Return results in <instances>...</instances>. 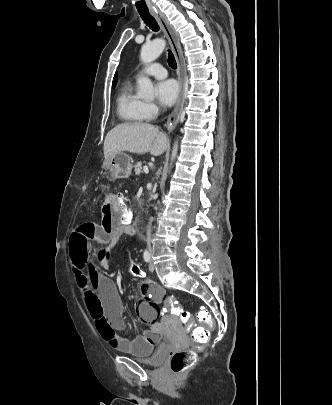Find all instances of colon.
Listing matches in <instances>:
<instances>
[{"label": "colon", "instance_id": "obj_1", "mask_svg": "<svg viewBox=\"0 0 332 405\" xmlns=\"http://www.w3.org/2000/svg\"><path fill=\"white\" fill-rule=\"evenodd\" d=\"M114 195L119 196L117 208L121 214V222H125L132 217V206L127 196L123 193ZM100 264L102 268H109L111 263L109 259H102ZM141 270L142 269L138 262L131 263L129 271L135 273V276L139 279L145 276V273ZM162 298L161 317L163 319H168L171 313L177 315L186 328L190 329L196 327V320L191 319L189 311L181 307L179 300L175 296L167 295V297ZM197 317L203 326L197 327L193 330L192 340L197 345H203L207 342L209 334L213 329L212 317L205 309L199 310L197 312ZM194 362L195 353L192 350H178L171 353L170 368L173 373L177 374L191 367Z\"/></svg>", "mask_w": 332, "mask_h": 405}]
</instances>
